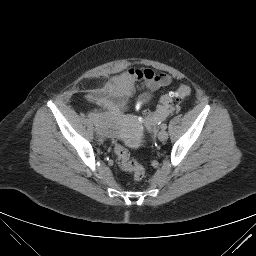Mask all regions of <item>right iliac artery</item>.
<instances>
[{
    "label": "right iliac artery",
    "instance_id": "right-iliac-artery-1",
    "mask_svg": "<svg viewBox=\"0 0 256 256\" xmlns=\"http://www.w3.org/2000/svg\"><path fill=\"white\" fill-rule=\"evenodd\" d=\"M88 117L90 118V120L93 121L94 124L97 125V119H98V118H97V115H96V114L90 112V113H88Z\"/></svg>",
    "mask_w": 256,
    "mask_h": 256
}]
</instances>
